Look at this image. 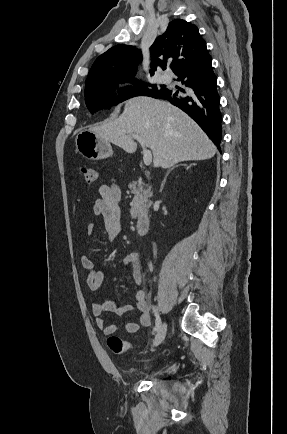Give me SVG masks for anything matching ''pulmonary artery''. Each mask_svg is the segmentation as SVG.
Segmentation results:
<instances>
[{
	"label": "pulmonary artery",
	"instance_id": "obj_1",
	"mask_svg": "<svg viewBox=\"0 0 287 434\" xmlns=\"http://www.w3.org/2000/svg\"><path fill=\"white\" fill-rule=\"evenodd\" d=\"M159 80L161 83H168L171 80V77L169 75H162Z\"/></svg>",
	"mask_w": 287,
	"mask_h": 434
}]
</instances>
